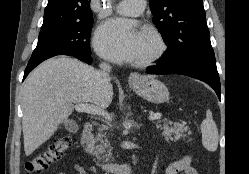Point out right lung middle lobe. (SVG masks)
Here are the masks:
<instances>
[{
    "mask_svg": "<svg viewBox=\"0 0 249 174\" xmlns=\"http://www.w3.org/2000/svg\"><path fill=\"white\" fill-rule=\"evenodd\" d=\"M93 18L41 28L38 43L29 62L57 53L91 54Z\"/></svg>",
    "mask_w": 249,
    "mask_h": 174,
    "instance_id": "obj_1",
    "label": "right lung middle lobe"
}]
</instances>
